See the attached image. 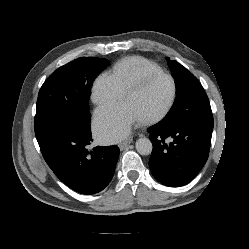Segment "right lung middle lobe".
<instances>
[{
  "mask_svg": "<svg viewBox=\"0 0 249 249\" xmlns=\"http://www.w3.org/2000/svg\"><path fill=\"white\" fill-rule=\"evenodd\" d=\"M108 60L80 57L58 68L42 85L34 120L36 138L63 128L90 125L89 97Z\"/></svg>",
  "mask_w": 249,
  "mask_h": 249,
  "instance_id": "1",
  "label": "right lung middle lobe"
}]
</instances>
